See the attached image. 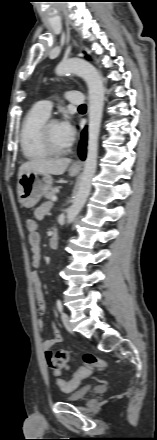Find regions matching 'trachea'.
Masks as SVG:
<instances>
[{
    "instance_id": "3493384b",
    "label": "trachea",
    "mask_w": 157,
    "mask_h": 440,
    "mask_svg": "<svg viewBox=\"0 0 157 440\" xmlns=\"http://www.w3.org/2000/svg\"><path fill=\"white\" fill-rule=\"evenodd\" d=\"M79 108H80V109H85V108H86V105L83 104V105H81Z\"/></svg>"
}]
</instances>
